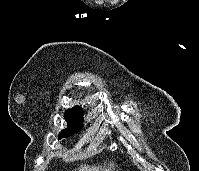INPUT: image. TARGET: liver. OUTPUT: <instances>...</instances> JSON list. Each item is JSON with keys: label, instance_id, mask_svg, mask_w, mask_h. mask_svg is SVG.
Returning <instances> with one entry per match:
<instances>
[{"label": "liver", "instance_id": "1", "mask_svg": "<svg viewBox=\"0 0 199 171\" xmlns=\"http://www.w3.org/2000/svg\"><path fill=\"white\" fill-rule=\"evenodd\" d=\"M79 171H114V165L113 163L111 164L110 163V167L108 168H101V167H90V166H87V165H82L80 166L79 168Z\"/></svg>", "mask_w": 199, "mask_h": 171}]
</instances>
